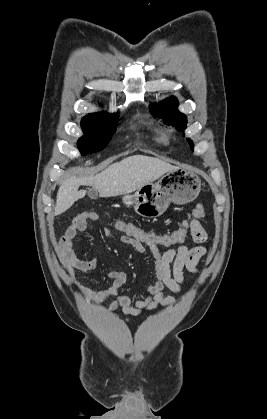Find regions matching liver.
I'll return each mask as SVG.
<instances>
[{
	"mask_svg": "<svg viewBox=\"0 0 267 419\" xmlns=\"http://www.w3.org/2000/svg\"><path fill=\"white\" fill-rule=\"evenodd\" d=\"M176 168L158 158L134 155L110 165L97 175L67 178L57 192L54 214L57 216L64 213L75 201L85 196L86 191H78L81 185L94 187L103 198L119 196L134 192Z\"/></svg>",
	"mask_w": 267,
	"mask_h": 419,
	"instance_id": "obj_1",
	"label": "liver"
}]
</instances>
